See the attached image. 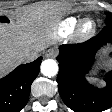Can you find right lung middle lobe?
I'll return each instance as SVG.
<instances>
[{
    "label": "right lung middle lobe",
    "instance_id": "obj_1",
    "mask_svg": "<svg viewBox=\"0 0 112 112\" xmlns=\"http://www.w3.org/2000/svg\"><path fill=\"white\" fill-rule=\"evenodd\" d=\"M0 22L8 23L9 20H8V18H6V17L0 16Z\"/></svg>",
    "mask_w": 112,
    "mask_h": 112
}]
</instances>
